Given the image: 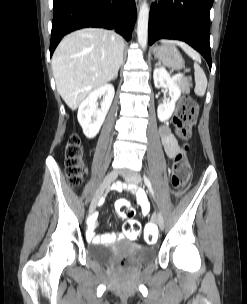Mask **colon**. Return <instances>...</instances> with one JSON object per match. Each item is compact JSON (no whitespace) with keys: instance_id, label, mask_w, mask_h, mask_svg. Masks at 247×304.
<instances>
[{"instance_id":"5ec220e1","label":"colon","mask_w":247,"mask_h":304,"mask_svg":"<svg viewBox=\"0 0 247 304\" xmlns=\"http://www.w3.org/2000/svg\"><path fill=\"white\" fill-rule=\"evenodd\" d=\"M197 104L190 96H184L178 105L173 123L177 135L182 139H187L190 135L191 127L196 119ZM82 146L80 138L71 135L65 151V169L68 181L71 185H78L83 178V161ZM191 175V169L188 159L184 152H180L176 158L172 168L171 183L177 190H182L187 185ZM117 212L119 215L129 218L130 220L124 226V235L129 238H138L142 233V224L131 219L134 210L131 204L126 200H120L117 203ZM147 238L145 246H156V239L159 237V224H146Z\"/></svg>"}]
</instances>
